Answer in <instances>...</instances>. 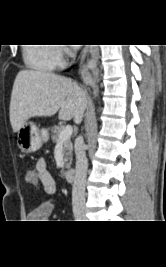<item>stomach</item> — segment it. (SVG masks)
Returning <instances> with one entry per match:
<instances>
[{
    "instance_id": "1",
    "label": "stomach",
    "mask_w": 166,
    "mask_h": 267,
    "mask_svg": "<svg viewBox=\"0 0 166 267\" xmlns=\"http://www.w3.org/2000/svg\"><path fill=\"white\" fill-rule=\"evenodd\" d=\"M17 136V145L24 153L39 150L49 137L46 129H39L33 122H26L18 130Z\"/></svg>"
}]
</instances>
